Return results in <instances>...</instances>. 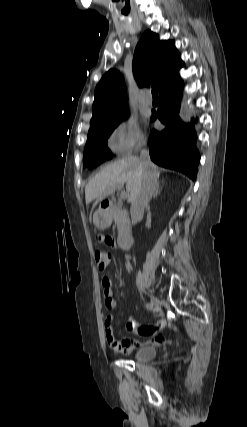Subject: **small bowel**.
<instances>
[{
	"label": "small bowel",
	"instance_id": "1",
	"mask_svg": "<svg viewBox=\"0 0 247 427\" xmlns=\"http://www.w3.org/2000/svg\"><path fill=\"white\" fill-rule=\"evenodd\" d=\"M99 243L107 246L108 249L114 248L115 240L112 232H101L98 234ZM102 286L104 289L105 305L109 310L115 309L117 303L112 291V281L110 278L105 277L102 280ZM114 316L109 313L105 319V333L109 344L113 350L117 353H129L134 348L142 344V341H128L125 339L117 340L113 335L112 323ZM167 326V320L163 315H160L158 321L154 324L140 326L135 318L130 317L127 320V330L133 333H137L144 339H149L153 344L159 345L166 342V338L159 334L160 330ZM174 330H177L176 326H173Z\"/></svg>",
	"mask_w": 247,
	"mask_h": 427
}]
</instances>
